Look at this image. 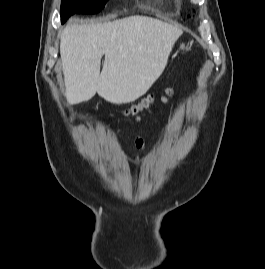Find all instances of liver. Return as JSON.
Wrapping results in <instances>:
<instances>
[{
    "instance_id": "1",
    "label": "liver",
    "mask_w": 265,
    "mask_h": 269,
    "mask_svg": "<svg viewBox=\"0 0 265 269\" xmlns=\"http://www.w3.org/2000/svg\"><path fill=\"white\" fill-rule=\"evenodd\" d=\"M181 35L176 26L138 15L67 25L61 34L60 55L68 103L88 101L96 92L118 105L137 100L161 76Z\"/></svg>"
}]
</instances>
